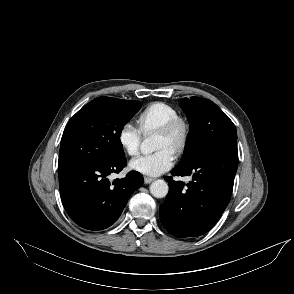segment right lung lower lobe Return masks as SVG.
I'll use <instances>...</instances> for the list:
<instances>
[{"label": "right lung lower lobe", "instance_id": "98d812e1", "mask_svg": "<svg viewBox=\"0 0 294 294\" xmlns=\"http://www.w3.org/2000/svg\"><path fill=\"white\" fill-rule=\"evenodd\" d=\"M125 165L126 158L122 157L59 169L61 200L77 225L88 230H102L116 222L130 195L143 184V176L137 171L109 182L108 176L119 173Z\"/></svg>", "mask_w": 294, "mask_h": 294}]
</instances>
